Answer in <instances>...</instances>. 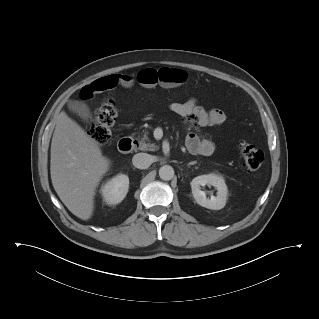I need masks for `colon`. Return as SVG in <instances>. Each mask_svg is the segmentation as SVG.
Listing matches in <instances>:
<instances>
[{"instance_id": "5ec220e1", "label": "colon", "mask_w": 319, "mask_h": 319, "mask_svg": "<svg viewBox=\"0 0 319 319\" xmlns=\"http://www.w3.org/2000/svg\"><path fill=\"white\" fill-rule=\"evenodd\" d=\"M118 116V109L110 99H105L96 110L91 121L90 135L100 144H105L111 136V127L114 125ZM240 151L243 155L245 165L250 171H258L264 163V154L256 146L241 141Z\"/></svg>"}]
</instances>
